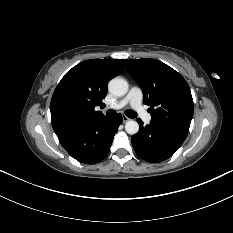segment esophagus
I'll return each instance as SVG.
<instances>
[{"instance_id":"1","label":"esophagus","mask_w":233,"mask_h":233,"mask_svg":"<svg viewBox=\"0 0 233 233\" xmlns=\"http://www.w3.org/2000/svg\"><path fill=\"white\" fill-rule=\"evenodd\" d=\"M130 120V118H128L127 116H122V121H123V123H126V122H128Z\"/></svg>"}]
</instances>
